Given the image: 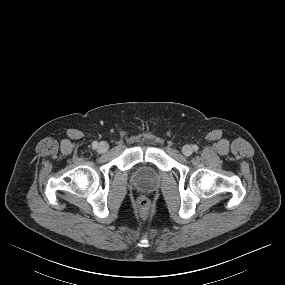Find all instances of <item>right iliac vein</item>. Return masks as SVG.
Listing matches in <instances>:
<instances>
[{
  "label": "right iliac vein",
  "instance_id": "obj_1",
  "mask_svg": "<svg viewBox=\"0 0 285 285\" xmlns=\"http://www.w3.org/2000/svg\"><path fill=\"white\" fill-rule=\"evenodd\" d=\"M108 149H109V145L107 142H100L97 147V150L99 153H105L108 151Z\"/></svg>",
  "mask_w": 285,
  "mask_h": 285
}]
</instances>
